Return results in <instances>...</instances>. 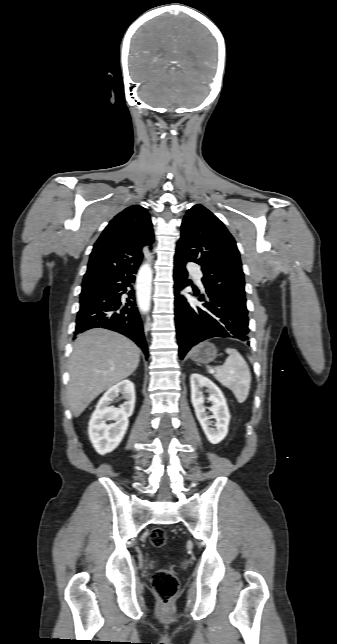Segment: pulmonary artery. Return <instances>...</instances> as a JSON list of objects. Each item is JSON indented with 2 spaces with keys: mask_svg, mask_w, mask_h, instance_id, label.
<instances>
[{
  "mask_svg": "<svg viewBox=\"0 0 337 644\" xmlns=\"http://www.w3.org/2000/svg\"><path fill=\"white\" fill-rule=\"evenodd\" d=\"M188 268H189V270H190V271L195 275V277H196V279H197V282H198L199 284H201L202 274H201V272H200L199 268H198L195 264H193V263H190V264L188 265Z\"/></svg>",
  "mask_w": 337,
  "mask_h": 644,
  "instance_id": "pulmonary-artery-1",
  "label": "pulmonary artery"
}]
</instances>
